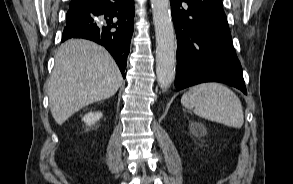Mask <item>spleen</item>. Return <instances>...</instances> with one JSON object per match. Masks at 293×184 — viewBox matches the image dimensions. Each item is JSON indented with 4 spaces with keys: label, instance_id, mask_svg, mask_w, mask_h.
<instances>
[{
    "label": "spleen",
    "instance_id": "obj_1",
    "mask_svg": "<svg viewBox=\"0 0 293 184\" xmlns=\"http://www.w3.org/2000/svg\"><path fill=\"white\" fill-rule=\"evenodd\" d=\"M184 107L204 119L241 128L244 123L238 96L221 83H202L190 88L181 98Z\"/></svg>",
    "mask_w": 293,
    "mask_h": 184
}]
</instances>
